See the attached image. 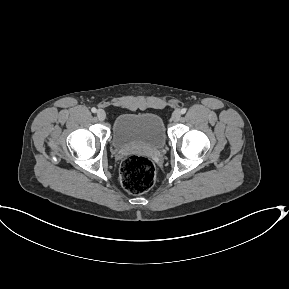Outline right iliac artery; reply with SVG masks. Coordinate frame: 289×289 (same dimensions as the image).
Returning <instances> with one entry per match:
<instances>
[{"label":"right iliac artery","mask_w":289,"mask_h":289,"mask_svg":"<svg viewBox=\"0 0 289 289\" xmlns=\"http://www.w3.org/2000/svg\"><path fill=\"white\" fill-rule=\"evenodd\" d=\"M91 111H92L93 113H96V112H97V109H96V108H92Z\"/></svg>","instance_id":"obj_1"}]
</instances>
